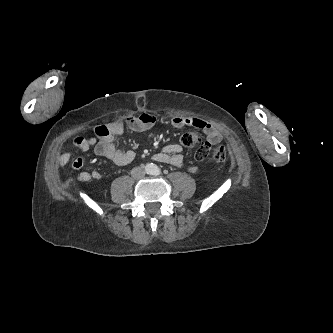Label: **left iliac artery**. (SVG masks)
Segmentation results:
<instances>
[{"mask_svg": "<svg viewBox=\"0 0 333 333\" xmlns=\"http://www.w3.org/2000/svg\"><path fill=\"white\" fill-rule=\"evenodd\" d=\"M161 173L160 169L155 167L154 170H153V174L154 175H159Z\"/></svg>", "mask_w": 333, "mask_h": 333, "instance_id": "obj_1", "label": "left iliac artery"}]
</instances>
